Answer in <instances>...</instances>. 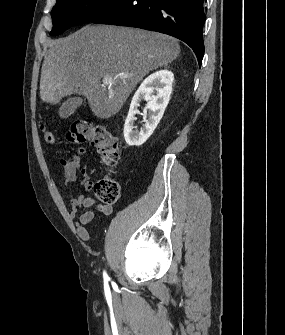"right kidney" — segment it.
<instances>
[{"label":"right kidney","mask_w":285,"mask_h":335,"mask_svg":"<svg viewBox=\"0 0 285 335\" xmlns=\"http://www.w3.org/2000/svg\"><path fill=\"white\" fill-rule=\"evenodd\" d=\"M174 74L169 70H159L148 76L137 92H135L130 104L128 116L124 124V138L128 146H142L155 128H157L164 112L168 106L172 92V82ZM156 94V96H154ZM141 100H146L148 112L143 114L144 124L140 132H133L134 122L137 120L135 114H138V106Z\"/></svg>","instance_id":"ca27d5eb"}]
</instances>
